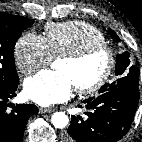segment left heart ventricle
<instances>
[{
	"label": "left heart ventricle",
	"mask_w": 142,
	"mask_h": 142,
	"mask_svg": "<svg viewBox=\"0 0 142 142\" xmlns=\"http://www.w3.org/2000/svg\"><path fill=\"white\" fill-rule=\"evenodd\" d=\"M107 59L103 53H98L81 63L59 60L56 63L58 71L66 73L74 87L85 86L96 81L104 72Z\"/></svg>",
	"instance_id": "b2bd125f"
}]
</instances>
